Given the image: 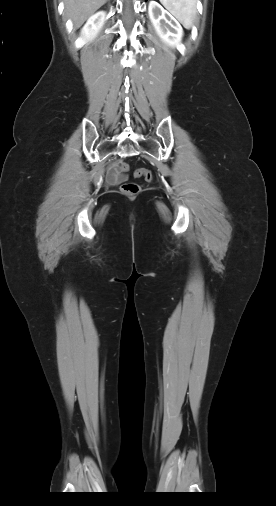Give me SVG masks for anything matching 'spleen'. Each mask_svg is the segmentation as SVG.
Instances as JSON below:
<instances>
[{
  "label": "spleen",
  "mask_w": 276,
  "mask_h": 506,
  "mask_svg": "<svg viewBox=\"0 0 276 506\" xmlns=\"http://www.w3.org/2000/svg\"><path fill=\"white\" fill-rule=\"evenodd\" d=\"M159 1L186 29L192 27L197 13L196 0Z\"/></svg>",
  "instance_id": "3e777b00"
}]
</instances>
